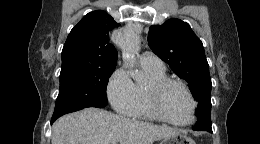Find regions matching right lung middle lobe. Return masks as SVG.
Returning a JSON list of instances; mask_svg holds the SVG:
<instances>
[{"label": "right lung middle lobe", "mask_w": 260, "mask_h": 144, "mask_svg": "<svg viewBox=\"0 0 260 144\" xmlns=\"http://www.w3.org/2000/svg\"><path fill=\"white\" fill-rule=\"evenodd\" d=\"M114 69L61 71L52 119L87 107H105L108 104L106 87Z\"/></svg>", "instance_id": "dd1d6c3e"}]
</instances>
